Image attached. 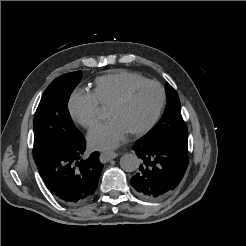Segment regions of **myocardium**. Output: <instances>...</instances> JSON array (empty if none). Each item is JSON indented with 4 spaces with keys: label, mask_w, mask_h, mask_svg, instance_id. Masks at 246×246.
Wrapping results in <instances>:
<instances>
[{
    "label": "myocardium",
    "mask_w": 246,
    "mask_h": 246,
    "mask_svg": "<svg viewBox=\"0 0 246 246\" xmlns=\"http://www.w3.org/2000/svg\"><path fill=\"white\" fill-rule=\"evenodd\" d=\"M148 84L155 85L159 89V92H160L159 104L155 111V114L153 115L151 120L146 125H144L143 127L139 129L129 132L133 136H142L146 134L147 132H149L156 125L159 118L161 117V114L163 112V109L166 103V93H165V89L162 86V84L158 82L157 80H153V79H144L134 84H131L123 91V93L109 107V110H112V109H116L122 106L129 99V97L132 95V93L136 89L140 88L143 85H148Z\"/></svg>",
    "instance_id": "f54148a6"
}]
</instances>
